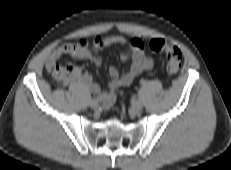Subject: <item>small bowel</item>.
<instances>
[{
  "instance_id": "obj_1",
  "label": "small bowel",
  "mask_w": 231,
  "mask_h": 170,
  "mask_svg": "<svg viewBox=\"0 0 231 170\" xmlns=\"http://www.w3.org/2000/svg\"><path fill=\"white\" fill-rule=\"evenodd\" d=\"M111 45L122 47L121 59L130 61V66L123 71H119L116 67L111 66L108 70L110 80L106 90H102L87 72L82 71L73 78L74 82L85 86L90 92L97 95L106 107H110L115 101V90L117 88L130 85L137 76L150 70L154 65L152 56L145 52L144 43L140 39L133 38L128 40L122 35L97 36L89 44L87 40L81 38L76 43H65L53 50L46 60V66L49 69L57 64V61L63 55L89 60L96 66H100L102 63L100 50Z\"/></svg>"
}]
</instances>
